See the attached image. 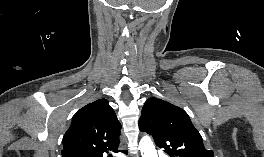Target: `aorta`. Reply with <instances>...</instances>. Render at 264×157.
I'll use <instances>...</instances> for the list:
<instances>
[{"label":"aorta","instance_id":"aorta-1","mask_svg":"<svg viewBox=\"0 0 264 157\" xmlns=\"http://www.w3.org/2000/svg\"><path fill=\"white\" fill-rule=\"evenodd\" d=\"M142 157H157L152 141L148 138H143L139 143Z\"/></svg>","mask_w":264,"mask_h":157}]
</instances>
